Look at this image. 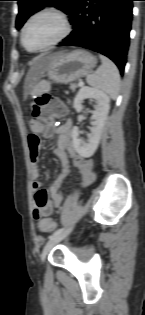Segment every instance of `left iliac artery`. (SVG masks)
Returning a JSON list of instances; mask_svg holds the SVG:
<instances>
[{
	"mask_svg": "<svg viewBox=\"0 0 145 315\" xmlns=\"http://www.w3.org/2000/svg\"><path fill=\"white\" fill-rule=\"evenodd\" d=\"M63 230H64V228H59V229H57L49 238H51V237H53V236H55V235L60 234L61 232H63Z\"/></svg>",
	"mask_w": 145,
	"mask_h": 315,
	"instance_id": "left-iliac-artery-1",
	"label": "left iliac artery"
}]
</instances>
